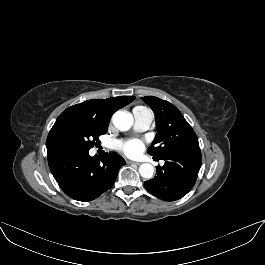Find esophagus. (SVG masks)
<instances>
[{
  "mask_svg": "<svg viewBox=\"0 0 265 265\" xmlns=\"http://www.w3.org/2000/svg\"><path fill=\"white\" fill-rule=\"evenodd\" d=\"M129 164H135V165H140L139 162H135V161H128Z\"/></svg>",
  "mask_w": 265,
  "mask_h": 265,
  "instance_id": "obj_1",
  "label": "esophagus"
}]
</instances>
